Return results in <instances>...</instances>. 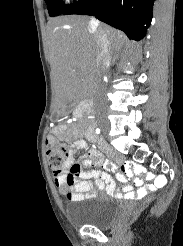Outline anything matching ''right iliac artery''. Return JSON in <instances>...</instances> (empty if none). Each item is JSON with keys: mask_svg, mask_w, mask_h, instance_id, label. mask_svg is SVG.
I'll return each mask as SVG.
<instances>
[{"mask_svg": "<svg viewBox=\"0 0 183 246\" xmlns=\"http://www.w3.org/2000/svg\"><path fill=\"white\" fill-rule=\"evenodd\" d=\"M96 133H97V134L100 133V129H99V128L96 129Z\"/></svg>", "mask_w": 183, "mask_h": 246, "instance_id": "obj_1", "label": "right iliac artery"}]
</instances>
